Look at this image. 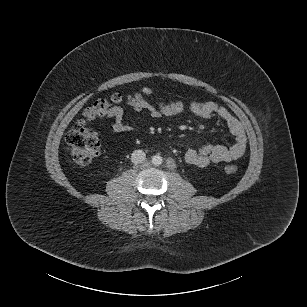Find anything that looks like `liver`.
<instances>
[{
  "label": "liver",
  "mask_w": 307,
  "mask_h": 307,
  "mask_svg": "<svg viewBox=\"0 0 307 307\" xmlns=\"http://www.w3.org/2000/svg\"><path fill=\"white\" fill-rule=\"evenodd\" d=\"M64 151H65L66 153L69 152L68 146H64Z\"/></svg>",
  "instance_id": "6515ba94"
}]
</instances>
